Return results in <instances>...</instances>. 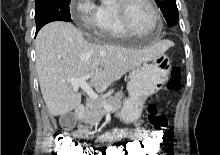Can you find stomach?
I'll list each match as a JSON object with an SVG mask.
<instances>
[{
    "label": "stomach",
    "mask_w": 220,
    "mask_h": 155,
    "mask_svg": "<svg viewBox=\"0 0 220 155\" xmlns=\"http://www.w3.org/2000/svg\"><path fill=\"white\" fill-rule=\"evenodd\" d=\"M170 67V58L163 53L131 70L127 84L129 97L118 113L121 120L129 123L141 116L147 98L157 93L167 81Z\"/></svg>",
    "instance_id": "1"
}]
</instances>
